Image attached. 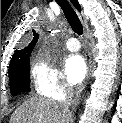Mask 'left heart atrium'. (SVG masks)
Segmentation results:
<instances>
[{
    "label": "left heart atrium",
    "mask_w": 122,
    "mask_h": 123,
    "mask_svg": "<svg viewBox=\"0 0 122 123\" xmlns=\"http://www.w3.org/2000/svg\"><path fill=\"white\" fill-rule=\"evenodd\" d=\"M64 70L69 82L77 84L86 76L87 67L80 55H70L65 60Z\"/></svg>",
    "instance_id": "39dd6f15"
}]
</instances>
